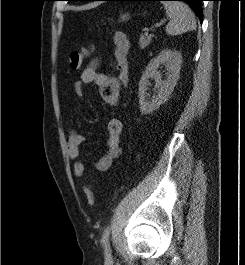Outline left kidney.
I'll use <instances>...</instances> for the list:
<instances>
[{"instance_id":"5707ae66","label":"left kidney","mask_w":245,"mask_h":265,"mask_svg":"<svg viewBox=\"0 0 245 265\" xmlns=\"http://www.w3.org/2000/svg\"><path fill=\"white\" fill-rule=\"evenodd\" d=\"M182 56L178 51L170 49L162 50L159 55L153 58L146 67L145 72L139 81V105L142 114H150L158 109L161 104L167 101L179 79L181 69ZM160 65H165L167 69V77L162 80L161 74L157 71ZM149 78H153L156 82L157 95L149 101L147 97V86Z\"/></svg>"}]
</instances>
